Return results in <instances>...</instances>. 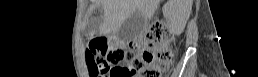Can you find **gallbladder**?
<instances>
[{
  "label": "gallbladder",
  "instance_id": "bac80fb5",
  "mask_svg": "<svg viewBox=\"0 0 258 77\" xmlns=\"http://www.w3.org/2000/svg\"><path fill=\"white\" fill-rule=\"evenodd\" d=\"M145 25V18L136 11L123 22L118 30V36L123 41H131L143 32Z\"/></svg>",
  "mask_w": 258,
  "mask_h": 77
}]
</instances>
